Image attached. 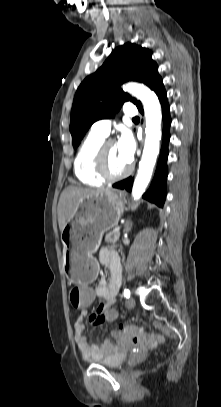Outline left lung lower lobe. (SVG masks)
<instances>
[{
  "label": "left lung lower lobe",
  "mask_w": 221,
  "mask_h": 407,
  "mask_svg": "<svg viewBox=\"0 0 221 407\" xmlns=\"http://www.w3.org/2000/svg\"><path fill=\"white\" fill-rule=\"evenodd\" d=\"M153 91L157 94L163 110V142L154 179L149 190L143 195V197L151 202H154L159 207H163L166 197V179L168 174L166 160L168 157V142L170 139L169 127L171 119L169 115V105L167 102L166 91L164 89L162 79L158 81L153 88ZM138 109L143 114L142 105L139 106ZM132 185L133 180L131 177H129L113 184V187L131 191Z\"/></svg>",
  "instance_id": "obj_1"
}]
</instances>
